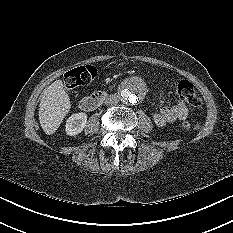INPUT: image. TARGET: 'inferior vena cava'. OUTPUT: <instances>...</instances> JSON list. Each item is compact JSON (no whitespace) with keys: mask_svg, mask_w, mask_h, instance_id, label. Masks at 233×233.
<instances>
[{"mask_svg":"<svg viewBox=\"0 0 233 233\" xmlns=\"http://www.w3.org/2000/svg\"><path fill=\"white\" fill-rule=\"evenodd\" d=\"M118 102H119V97L116 94L109 95L104 101V103L108 106L116 105L118 104Z\"/></svg>","mask_w":233,"mask_h":233,"instance_id":"1","label":"inferior vena cava"}]
</instances>
